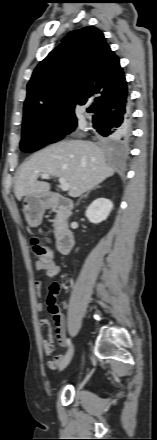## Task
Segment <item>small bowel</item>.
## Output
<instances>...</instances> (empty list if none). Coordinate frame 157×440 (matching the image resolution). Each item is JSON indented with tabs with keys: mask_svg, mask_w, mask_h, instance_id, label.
<instances>
[{
	"mask_svg": "<svg viewBox=\"0 0 157 440\" xmlns=\"http://www.w3.org/2000/svg\"><path fill=\"white\" fill-rule=\"evenodd\" d=\"M36 269L38 271H41L44 273L45 276L53 277L56 276L59 273L58 266L53 262L50 261L47 264H37L36 263ZM41 282L42 279L39 278L36 280V290L39 293L41 289ZM50 313L53 315L54 323H55V336L57 339V342L60 346L64 347L66 345V335H65V318L64 315L59 311L58 307L52 308L50 305H48ZM36 309L38 312L43 311V305L41 303H38L36 305ZM39 325L41 327H47L48 328V337L46 339H43L41 341V346L43 351L51 355L53 350V336H52V327L50 325L49 320L42 318L39 321ZM64 356L62 354L52 355L51 359L48 361L47 366L50 369H55L59 363L63 360Z\"/></svg>",
	"mask_w": 157,
	"mask_h": 440,
	"instance_id": "obj_1",
	"label": "small bowel"
}]
</instances>
